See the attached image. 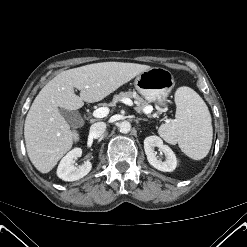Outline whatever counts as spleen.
<instances>
[{
    "mask_svg": "<svg viewBox=\"0 0 247 247\" xmlns=\"http://www.w3.org/2000/svg\"><path fill=\"white\" fill-rule=\"evenodd\" d=\"M175 119L159 128L168 143L179 145L182 152L194 160H201L210 151L213 129L211 115L203 99L190 87L175 92Z\"/></svg>",
    "mask_w": 247,
    "mask_h": 247,
    "instance_id": "obj_1",
    "label": "spleen"
}]
</instances>
